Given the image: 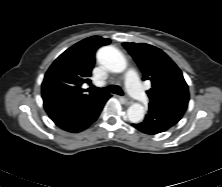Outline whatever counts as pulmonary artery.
I'll return each instance as SVG.
<instances>
[{"label":"pulmonary artery","mask_w":222,"mask_h":187,"mask_svg":"<svg viewBox=\"0 0 222 187\" xmlns=\"http://www.w3.org/2000/svg\"><path fill=\"white\" fill-rule=\"evenodd\" d=\"M124 79L126 81L128 92L131 96L140 103H147L148 96L143 91L136 72L133 70L128 71L124 76Z\"/></svg>","instance_id":"pulmonary-artery-1"}]
</instances>
